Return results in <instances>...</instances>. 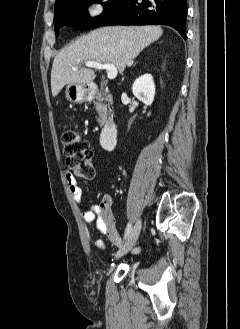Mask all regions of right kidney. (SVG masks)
<instances>
[{"instance_id":"ca27d5eb","label":"right kidney","mask_w":240,"mask_h":329,"mask_svg":"<svg viewBox=\"0 0 240 329\" xmlns=\"http://www.w3.org/2000/svg\"><path fill=\"white\" fill-rule=\"evenodd\" d=\"M132 92L139 101L151 105L155 96V84L152 75L144 74L137 78L133 83Z\"/></svg>"}]
</instances>
